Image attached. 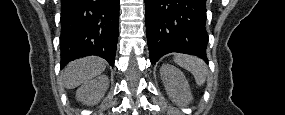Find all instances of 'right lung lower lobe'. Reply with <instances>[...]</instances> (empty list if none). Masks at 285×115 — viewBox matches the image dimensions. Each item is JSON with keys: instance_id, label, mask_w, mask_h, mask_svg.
Here are the masks:
<instances>
[{"instance_id": "98d812e1", "label": "right lung lower lobe", "mask_w": 285, "mask_h": 115, "mask_svg": "<svg viewBox=\"0 0 285 115\" xmlns=\"http://www.w3.org/2000/svg\"><path fill=\"white\" fill-rule=\"evenodd\" d=\"M120 0H61V67L97 55L113 67Z\"/></svg>"}]
</instances>
